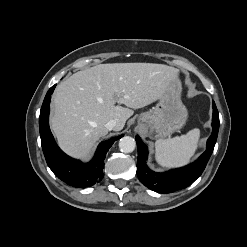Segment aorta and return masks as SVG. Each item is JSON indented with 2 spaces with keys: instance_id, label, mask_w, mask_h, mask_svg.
<instances>
[{
  "instance_id": "762f6f07",
  "label": "aorta",
  "mask_w": 247,
  "mask_h": 247,
  "mask_svg": "<svg viewBox=\"0 0 247 247\" xmlns=\"http://www.w3.org/2000/svg\"><path fill=\"white\" fill-rule=\"evenodd\" d=\"M136 147L135 140L130 136H124L119 141V148L124 153H131Z\"/></svg>"
}]
</instances>
